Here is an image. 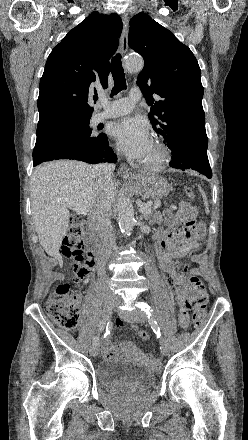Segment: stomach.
I'll use <instances>...</instances> for the list:
<instances>
[{"instance_id":"1","label":"stomach","mask_w":248,"mask_h":440,"mask_svg":"<svg viewBox=\"0 0 248 440\" xmlns=\"http://www.w3.org/2000/svg\"><path fill=\"white\" fill-rule=\"evenodd\" d=\"M133 187L135 192L143 198L161 199L168 196L171 190L165 178L151 175L138 176L133 183Z\"/></svg>"}]
</instances>
